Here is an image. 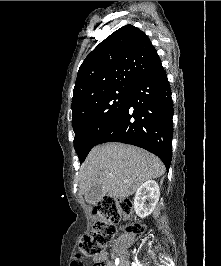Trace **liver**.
Here are the masks:
<instances>
[{"mask_svg":"<svg viewBox=\"0 0 221 266\" xmlns=\"http://www.w3.org/2000/svg\"><path fill=\"white\" fill-rule=\"evenodd\" d=\"M165 166L144 149L122 143L94 147L80 170V193L100 184L113 198L132 195L145 181L161 177ZM112 175V176H111Z\"/></svg>","mask_w":221,"mask_h":266,"instance_id":"obj_1","label":"liver"}]
</instances>
